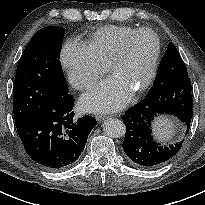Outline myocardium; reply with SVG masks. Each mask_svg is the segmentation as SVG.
Listing matches in <instances>:
<instances>
[{"mask_svg": "<svg viewBox=\"0 0 205 205\" xmlns=\"http://www.w3.org/2000/svg\"><path fill=\"white\" fill-rule=\"evenodd\" d=\"M141 34L152 35L155 39L156 47H155V53H154L153 59L151 61L148 75H147L146 79L144 80V82L133 91L135 94L143 92L144 90H146L152 84V82L156 76L158 64H159V60H160V56H161V50H162L161 40H160L159 36L157 35V33L149 28H140V29H137L134 32L130 33L129 35H127L124 38L120 48L112 56V58L110 59L108 65H107L108 70L110 72H113L115 66L126 57L130 43Z\"/></svg>", "mask_w": 205, "mask_h": 205, "instance_id": "myocardium-1", "label": "myocardium"}]
</instances>
